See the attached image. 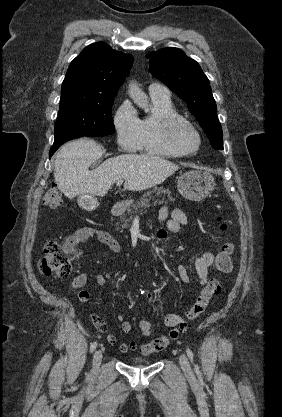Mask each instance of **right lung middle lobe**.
Here are the masks:
<instances>
[{
    "mask_svg": "<svg viewBox=\"0 0 282 417\" xmlns=\"http://www.w3.org/2000/svg\"><path fill=\"white\" fill-rule=\"evenodd\" d=\"M116 93L61 94L55 139L68 135L102 137L114 132L112 105Z\"/></svg>",
    "mask_w": 282,
    "mask_h": 417,
    "instance_id": "obj_1",
    "label": "right lung middle lobe"
}]
</instances>
